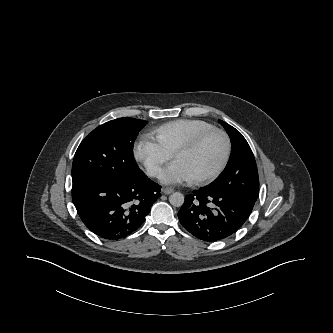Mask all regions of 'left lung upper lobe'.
Listing matches in <instances>:
<instances>
[{"instance_id":"obj_1","label":"left lung upper lobe","mask_w":333,"mask_h":333,"mask_svg":"<svg viewBox=\"0 0 333 333\" xmlns=\"http://www.w3.org/2000/svg\"><path fill=\"white\" fill-rule=\"evenodd\" d=\"M219 122L230 136L232 152L223 174L210 186L224 189L254 205L259 193V177L252 150L238 130L222 120Z\"/></svg>"}]
</instances>
